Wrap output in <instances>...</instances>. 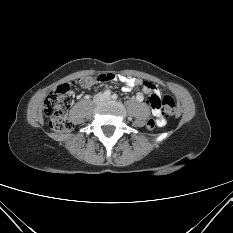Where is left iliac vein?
Returning a JSON list of instances; mask_svg holds the SVG:
<instances>
[{
	"instance_id": "left-iliac-vein-1",
	"label": "left iliac vein",
	"mask_w": 233,
	"mask_h": 233,
	"mask_svg": "<svg viewBox=\"0 0 233 233\" xmlns=\"http://www.w3.org/2000/svg\"><path fill=\"white\" fill-rule=\"evenodd\" d=\"M110 99V97H106V100H109Z\"/></svg>"
}]
</instances>
